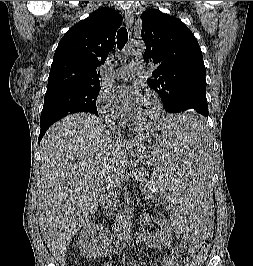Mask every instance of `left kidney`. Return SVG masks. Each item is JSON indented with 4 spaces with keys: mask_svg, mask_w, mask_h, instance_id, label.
Listing matches in <instances>:
<instances>
[{
    "mask_svg": "<svg viewBox=\"0 0 253 266\" xmlns=\"http://www.w3.org/2000/svg\"><path fill=\"white\" fill-rule=\"evenodd\" d=\"M157 223L160 226L161 231L152 234L143 230L142 238L147 244H150L154 247H161L169 243L172 236L170 231V225L165 218H157Z\"/></svg>",
    "mask_w": 253,
    "mask_h": 266,
    "instance_id": "1",
    "label": "left kidney"
}]
</instances>
